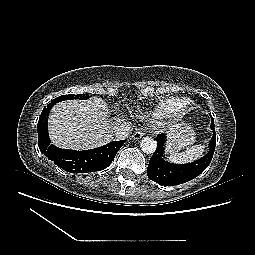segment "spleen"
Segmentation results:
<instances>
[{
	"label": "spleen",
	"mask_w": 255,
	"mask_h": 255,
	"mask_svg": "<svg viewBox=\"0 0 255 255\" xmlns=\"http://www.w3.org/2000/svg\"><path fill=\"white\" fill-rule=\"evenodd\" d=\"M204 151L205 145L199 144L187 148L185 152L173 153L168 157V159L171 162L183 164L198 159L199 157H201Z\"/></svg>",
	"instance_id": "spleen-1"
}]
</instances>
